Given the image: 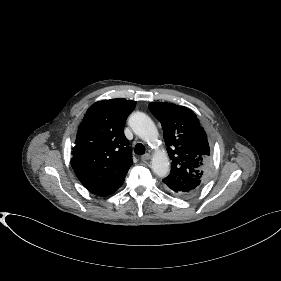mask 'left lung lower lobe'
<instances>
[{"label": "left lung lower lobe", "mask_w": 281, "mask_h": 281, "mask_svg": "<svg viewBox=\"0 0 281 281\" xmlns=\"http://www.w3.org/2000/svg\"><path fill=\"white\" fill-rule=\"evenodd\" d=\"M172 194H175V195H178V196H182V197H185L184 195H182V194H179V193H177V192H174V191H171V190H169Z\"/></svg>", "instance_id": "left-lung-lower-lobe-1"}]
</instances>
